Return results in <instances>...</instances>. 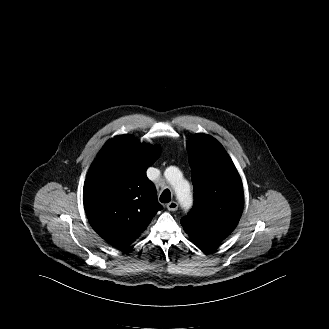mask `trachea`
<instances>
[{
	"instance_id": "obj_1",
	"label": "trachea",
	"mask_w": 329,
	"mask_h": 329,
	"mask_svg": "<svg viewBox=\"0 0 329 329\" xmlns=\"http://www.w3.org/2000/svg\"><path fill=\"white\" fill-rule=\"evenodd\" d=\"M170 201H171V193L169 189H165L160 196V202L168 203Z\"/></svg>"
}]
</instances>
